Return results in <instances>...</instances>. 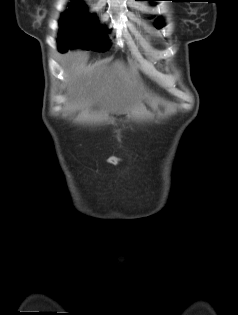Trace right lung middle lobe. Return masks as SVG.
<instances>
[{
    "label": "right lung middle lobe",
    "instance_id": "dd1d6c3e",
    "mask_svg": "<svg viewBox=\"0 0 238 315\" xmlns=\"http://www.w3.org/2000/svg\"><path fill=\"white\" fill-rule=\"evenodd\" d=\"M86 5L82 2L70 3L69 9L59 21V51L71 47H82L94 51H104L109 46L103 26L92 14H86Z\"/></svg>",
    "mask_w": 238,
    "mask_h": 315
}]
</instances>
